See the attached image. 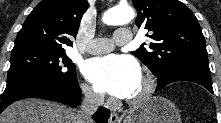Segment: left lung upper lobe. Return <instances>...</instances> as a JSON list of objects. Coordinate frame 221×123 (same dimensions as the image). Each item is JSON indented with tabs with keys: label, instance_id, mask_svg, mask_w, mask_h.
Returning <instances> with one entry per match:
<instances>
[{
	"label": "left lung upper lobe",
	"instance_id": "obj_1",
	"mask_svg": "<svg viewBox=\"0 0 221 123\" xmlns=\"http://www.w3.org/2000/svg\"><path fill=\"white\" fill-rule=\"evenodd\" d=\"M138 12L136 25L150 31L149 50L141 45L132 54L151 72L163 73L185 67L209 69L201 27L193 12L178 0H132Z\"/></svg>",
	"mask_w": 221,
	"mask_h": 123
}]
</instances>
